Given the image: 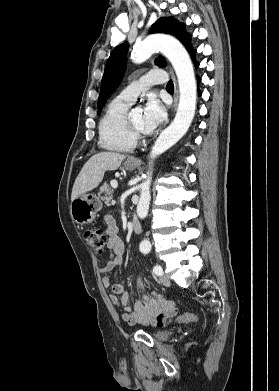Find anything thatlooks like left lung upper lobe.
<instances>
[{
	"label": "left lung upper lobe",
	"mask_w": 279,
	"mask_h": 391,
	"mask_svg": "<svg viewBox=\"0 0 279 391\" xmlns=\"http://www.w3.org/2000/svg\"><path fill=\"white\" fill-rule=\"evenodd\" d=\"M149 33H166L174 35L188 50L192 52L193 48L190 44V35L186 33L184 24L180 23L172 16L158 19L150 28ZM129 49V44L124 43L116 48L110 54L106 62L105 72L101 82V90L98 99V114H100L104 104L111 94L116 90L121 83L126 70V56ZM156 65L164 67L165 59L158 57L155 60Z\"/></svg>",
	"instance_id": "1"
}]
</instances>
